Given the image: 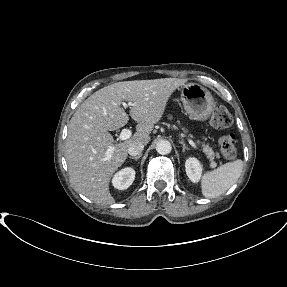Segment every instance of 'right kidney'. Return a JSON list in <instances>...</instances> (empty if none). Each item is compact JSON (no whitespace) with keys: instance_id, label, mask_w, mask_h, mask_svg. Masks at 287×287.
Returning a JSON list of instances; mask_svg holds the SVG:
<instances>
[{"instance_id":"right-kidney-1","label":"right kidney","mask_w":287,"mask_h":287,"mask_svg":"<svg viewBox=\"0 0 287 287\" xmlns=\"http://www.w3.org/2000/svg\"><path fill=\"white\" fill-rule=\"evenodd\" d=\"M135 179V170L127 167L115 174L112 179V184L116 189H127Z\"/></svg>"}]
</instances>
